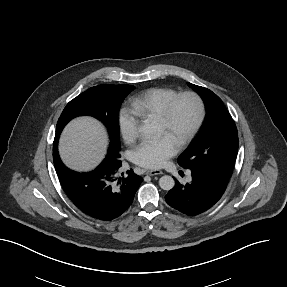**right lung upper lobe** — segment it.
I'll list each match as a JSON object with an SVG mask.
<instances>
[{
	"label": "right lung upper lobe",
	"instance_id": "right-lung-upper-lobe-1",
	"mask_svg": "<svg viewBox=\"0 0 287 287\" xmlns=\"http://www.w3.org/2000/svg\"><path fill=\"white\" fill-rule=\"evenodd\" d=\"M63 128L61 127H57L56 129V135H55V138H54V144H53V160L55 162H58V148H57V144H58V139H59V136H60V133L62 131ZM104 164H108L107 162H104Z\"/></svg>",
	"mask_w": 287,
	"mask_h": 287
}]
</instances>
